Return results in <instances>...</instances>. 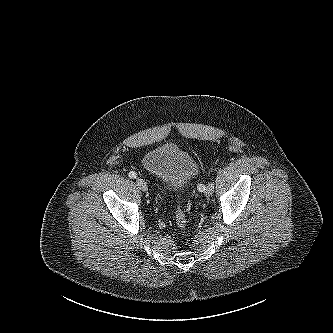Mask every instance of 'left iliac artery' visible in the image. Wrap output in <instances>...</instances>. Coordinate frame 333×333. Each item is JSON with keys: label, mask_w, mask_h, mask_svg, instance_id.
Returning <instances> with one entry per match:
<instances>
[{"label": "left iliac artery", "mask_w": 333, "mask_h": 333, "mask_svg": "<svg viewBox=\"0 0 333 333\" xmlns=\"http://www.w3.org/2000/svg\"><path fill=\"white\" fill-rule=\"evenodd\" d=\"M197 188H198V190H199L200 192H203V191H205V189H206L205 185H204V184H201V183L198 184ZM213 188H214V186H213Z\"/></svg>", "instance_id": "1"}]
</instances>
